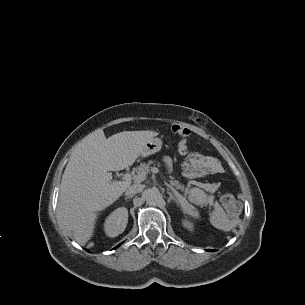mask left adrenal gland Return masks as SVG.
Listing matches in <instances>:
<instances>
[{
    "instance_id": "left-adrenal-gland-1",
    "label": "left adrenal gland",
    "mask_w": 305,
    "mask_h": 305,
    "mask_svg": "<svg viewBox=\"0 0 305 305\" xmlns=\"http://www.w3.org/2000/svg\"><path fill=\"white\" fill-rule=\"evenodd\" d=\"M170 187H171V186H170ZM171 190L174 191V189H173L172 187H171ZM167 193H168V195H169L168 201L173 200V201H176L177 204H179V200H178L177 198L174 197V195L169 191V189H167Z\"/></svg>"
}]
</instances>
